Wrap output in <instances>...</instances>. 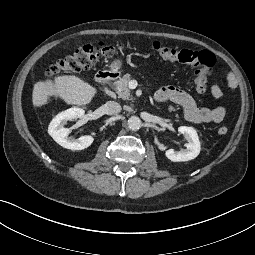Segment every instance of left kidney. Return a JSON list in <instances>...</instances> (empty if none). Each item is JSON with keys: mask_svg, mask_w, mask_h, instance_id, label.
<instances>
[{"mask_svg": "<svg viewBox=\"0 0 255 255\" xmlns=\"http://www.w3.org/2000/svg\"><path fill=\"white\" fill-rule=\"evenodd\" d=\"M178 131L188 140L186 144L187 149L180 151L169 149L165 152L166 157L173 162L189 161L196 158L201 150V144L196 130L192 127L180 126Z\"/></svg>", "mask_w": 255, "mask_h": 255, "instance_id": "obj_1", "label": "left kidney"}]
</instances>
